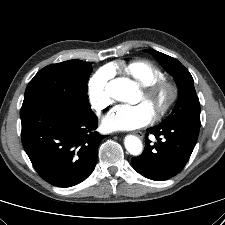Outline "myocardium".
<instances>
[{
    "instance_id": "myocardium-1",
    "label": "myocardium",
    "mask_w": 225,
    "mask_h": 225,
    "mask_svg": "<svg viewBox=\"0 0 225 225\" xmlns=\"http://www.w3.org/2000/svg\"><path fill=\"white\" fill-rule=\"evenodd\" d=\"M144 98L153 105L156 120L166 117L178 98L177 85L165 78L142 86Z\"/></svg>"
}]
</instances>
